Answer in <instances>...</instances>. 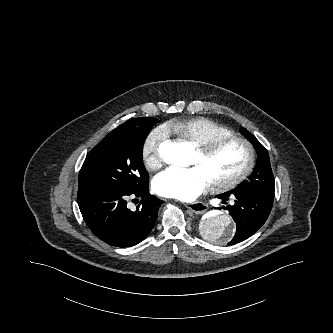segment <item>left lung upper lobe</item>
<instances>
[{
  "label": "left lung upper lobe",
  "instance_id": "1",
  "mask_svg": "<svg viewBox=\"0 0 333 333\" xmlns=\"http://www.w3.org/2000/svg\"><path fill=\"white\" fill-rule=\"evenodd\" d=\"M242 133L257 150V164L251 176L230 192H253L274 197V176L270 166L268 152L265 147L247 130H242Z\"/></svg>",
  "mask_w": 333,
  "mask_h": 333
}]
</instances>
